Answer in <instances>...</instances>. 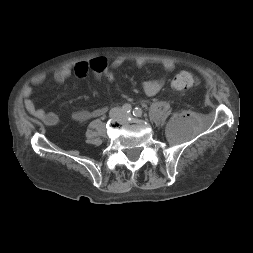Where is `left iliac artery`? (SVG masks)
Returning <instances> with one entry per match:
<instances>
[{
    "label": "left iliac artery",
    "mask_w": 253,
    "mask_h": 253,
    "mask_svg": "<svg viewBox=\"0 0 253 253\" xmlns=\"http://www.w3.org/2000/svg\"><path fill=\"white\" fill-rule=\"evenodd\" d=\"M142 113H143V111H142L141 108L136 107V108L133 110V115H134L135 117H140V116L142 115Z\"/></svg>",
    "instance_id": "obj_1"
}]
</instances>
